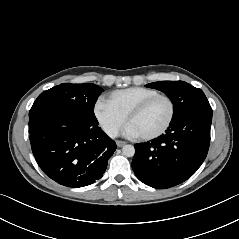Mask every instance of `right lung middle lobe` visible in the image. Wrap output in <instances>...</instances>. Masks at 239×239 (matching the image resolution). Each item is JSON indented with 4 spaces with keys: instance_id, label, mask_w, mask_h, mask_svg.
I'll return each mask as SVG.
<instances>
[{
    "instance_id": "obj_1",
    "label": "right lung middle lobe",
    "mask_w": 239,
    "mask_h": 239,
    "mask_svg": "<svg viewBox=\"0 0 239 239\" xmlns=\"http://www.w3.org/2000/svg\"><path fill=\"white\" fill-rule=\"evenodd\" d=\"M103 89L93 83H64L42 92L29 112V133L46 125H97L94 105Z\"/></svg>"
}]
</instances>
